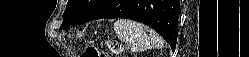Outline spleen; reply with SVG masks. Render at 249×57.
<instances>
[{
	"instance_id": "spleen-1",
	"label": "spleen",
	"mask_w": 249,
	"mask_h": 57,
	"mask_svg": "<svg viewBox=\"0 0 249 57\" xmlns=\"http://www.w3.org/2000/svg\"><path fill=\"white\" fill-rule=\"evenodd\" d=\"M118 38L127 43L132 51L141 52L163 45L161 37L148 26L129 19H120L114 23Z\"/></svg>"
}]
</instances>
